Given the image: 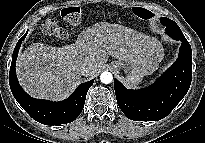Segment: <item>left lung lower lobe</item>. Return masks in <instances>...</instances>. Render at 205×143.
<instances>
[{"label": "left lung lower lobe", "mask_w": 205, "mask_h": 143, "mask_svg": "<svg viewBox=\"0 0 205 143\" xmlns=\"http://www.w3.org/2000/svg\"><path fill=\"white\" fill-rule=\"evenodd\" d=\"M166 33L182 42L176 62L149 88L128 90L114 80L118 105L134 121H157L166 117L186 95L192 79V50L177 24Z\"/></svg>", "instance_id": "obj_1"}]
</instances>
